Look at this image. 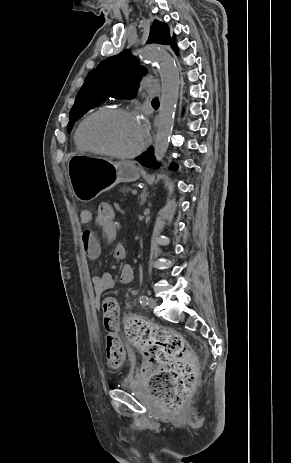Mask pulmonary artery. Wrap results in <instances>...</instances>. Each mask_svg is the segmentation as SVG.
Listing matches in <instances>:
<instances>
[{
    "label": "pulmonary artery",
    "instance_id": "e3ab8cb5",
    "mask_svg": "<svg viewBox=\"0 0 291 463\" xmlns=\"http://www.w3.org/2000/svg\"><path fill=\"white\" fill-rule=\"evenodd\" d=\"M143 87L146 89L148 95L152 97H157L160 95V87L155 79L152 77H145L142 81Z\"/></svg>",
    "mask_w": 291,
    "mask_h": 463
}]
</instances>
